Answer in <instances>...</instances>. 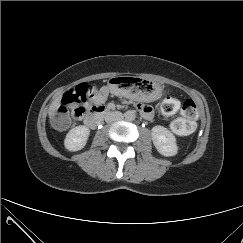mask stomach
<instances>
[{"label":"stomach","instance_id":"obj_1","mask_svg":"<svg viewBox=\"0 0 243 243\" xmlns=\"http://www.w3.org/2000/svg\"><path fill=\"white\" fill-rule=\"evenodd\" d=\"M109 86L113 92L137 100H154L162 94L158 83L133 76L113 77Z\"/></svg>","mask_w":243,"mask_h":243}]
</instances>
